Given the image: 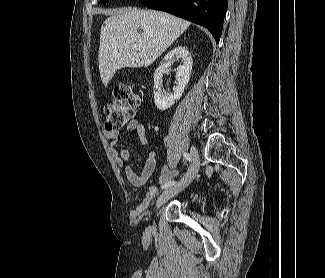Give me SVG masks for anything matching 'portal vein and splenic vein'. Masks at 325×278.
<instances>
[{
  "instance_id": "1",
  "label": "portal vein and splenic vein",
  "mask_w": 325,
  "mask_h": 278,
  "mask_svg": "<svg viewBox=\"0 0 325 278\" xmlns=\"http://www.w3.org/2000/svg\"><path fill=\"white\" fill-rule=\"evenodd\" d=\"M133 47H134L135 49H139V48H140L139 45H134Z\"/></svg>"
}]
</instances>
